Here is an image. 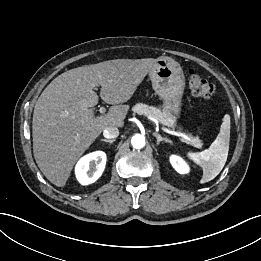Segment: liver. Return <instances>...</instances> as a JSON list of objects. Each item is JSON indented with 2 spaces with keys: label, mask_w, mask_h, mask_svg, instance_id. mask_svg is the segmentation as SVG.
Segmentation results:
<instances>
[{
  "label": "liver",
  "mask_w": 261,
  "mask_h": 261,
  "mask_svg": "<svg viewBox=\"0 0 261 261\" xmlns=\"http://www.w3.org/2000/svg\"><path fill=\"white\" fill-rule=\"evenodd\" d=\"M157 59H115L66 71L38 98L32 121L33 153L45 177L57 187L66 184L76 161L109 126L123 127L125 105ZM101 99L112 106L95 116Z\"/></svg>",
  "instance_id": "1"
}]
</instances>
